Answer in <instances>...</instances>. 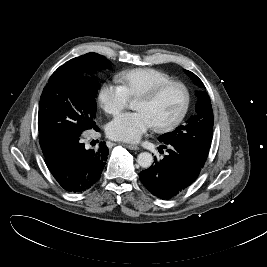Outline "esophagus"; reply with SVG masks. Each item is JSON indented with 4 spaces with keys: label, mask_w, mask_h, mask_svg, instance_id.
<instances>
[{
    "label": "esophagus",
    "mask_w": 267,
    "mask_h": 267,
    "mask_svg": "<svg viewBox=\"0 0 267 267\" xmlns=\"http://www.w3.org/2000/svg\"><path fill=\"white\" fill-rule=\"evenodd\" d=\"M126 148L130 149V150H139L140 148L136 145H128V144H125L124 145Z\"/></svg>",
    "instance_id": "1"
}]
</instances>
